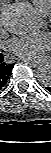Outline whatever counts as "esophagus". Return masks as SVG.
I'll use <instances>...</instances> for the list:
<instances>
[{"mask_svg":"<svg viewBox=\"0 0 51 153\" xmlns=\"http://www.w3.org/2000/svg\"><path fill=\"white\" fill-rule=\"evenodd\" d=\"M25 63L34 66V67H38L39 63L33 62V61H29V60H24Z\"/></svg>","mask_w":51,"mask_h":153,"instance_id":"34e87169","label":"esophagus"}]
</instances>
